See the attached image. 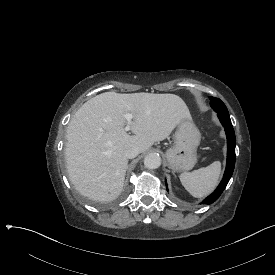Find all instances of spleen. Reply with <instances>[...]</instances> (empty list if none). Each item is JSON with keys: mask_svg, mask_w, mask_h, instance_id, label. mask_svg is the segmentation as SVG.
<instances>
[{"mask_svg": "<svg viewBox=\"0 0 275 275\" xmlns=\"http://www.w3.org/2000/svg\"><path fill=\"white\" fill-rule=\"evenodd\" d=\"M221 172L222 163L216 161L206 168L181 174L180 179L182 185L194 198H202L215 191L219 185Z\"/></svg>", "mask_w": 275, "mask_h": 275, "instance_id": "3e777b00", "label": "spleen"}]
</instances>
